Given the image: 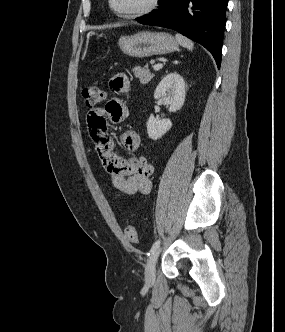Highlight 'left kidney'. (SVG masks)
<instances>
[{
	"label": "left kidney",
	"mask_w": 285,
	"mask_h": 332,
	"mask_svg": "<svg viewBox=\"0 0 285 332\" xmlns=\"http://www.w3.org/2000/svg\"><path fill=\"white\" fill-rule=\"evenodd\" d=\"M185 94V81L183 77L179 73L173 72L166 75L160 81L154 92V98L168 105L170 112H176L183 106ZM171 127L172 122L170 119L159 120L151 114L147 122V133L149 138L157 140Z\"/></svg>",
	"instance_id": "5707ae66"
}]
</instances>
